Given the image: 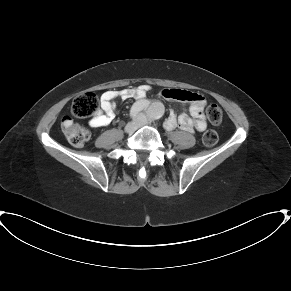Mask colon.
<instances>
[{"instance_id":"obj_1","label":"colon","mask_w":291,"mask_h":291,"mask_svg":"<svg viewBox=\"0 0 291 291\" xmlns=\"http://www.w3.org/2000/svg\"><path fill=\"white\" fill-rule=\"evenodd\" d=\"M98 108V98L93 92H84L73 100L71 106L72 116H65L61 120V130L67 140L74 146H82L90 139V130L75 121V118H87L95 113ZM206 117L214 124L222 120L221 108L210 104L205 110ZM218 140V134L214 130L204 133L202 142L205 146H213Z\"/></svg>"}]
</instances>
